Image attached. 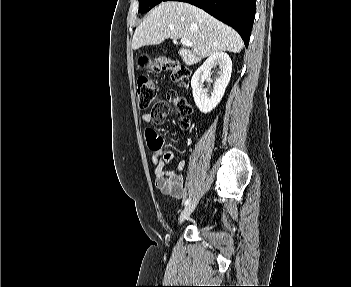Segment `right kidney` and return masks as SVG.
<instances>
[{"label": "right kidney", "instance_id": "ca27d5eb", "mask_svg": "<svg viewBox=\"0 0 351 287\" xmlns=\"http://www.w3.org/2000/svg\"><path fill=\"white\" fill-rule=\"evenodd\" d=\"M216 66H219L220 69L219 77L214 83V91L209 98L203 88V82ZM231 72V58L222 51L210 55L196 70L191 80V87L195 104L202 113L211 112L219 104L230 81Z\"/></svg>", "mask_w": 351, "mask_h": 287}]
</instances>
